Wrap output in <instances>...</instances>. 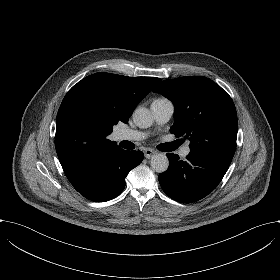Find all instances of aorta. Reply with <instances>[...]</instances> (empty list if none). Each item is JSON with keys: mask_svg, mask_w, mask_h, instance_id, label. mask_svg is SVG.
<instances>
[{"mask_svg": "<svg viewBox=\"0 0 280 280\" xmlns=\"http://www.w3.org/2000/svg\"><path fill=\"white\" fill-rule=\"evenodd\" d=\"M133 121L139 128H149L154 122L151 111L145 107L137 108L133 113ZM169 160L163 153H158L151 158V168L157 173H163L168 169Z\"/></svg>", "mask_w": 280, "mask_h": 280, "instance_id": "762f6f07", "label": "aorta"}]
</instances>
